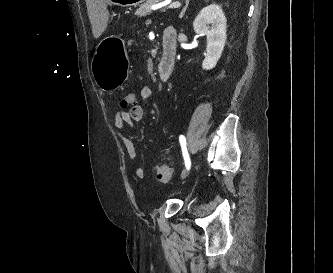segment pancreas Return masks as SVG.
I'll return each instance as SVG.
<instances>
[{"instance_id": "pancreas-1", "label": "pancreas", "mask_w": 333, "mask_h": 273, "mask_svg": "<svg viewBox=\"0 0 333 273\" xmlns=\"http://www.w3.org/2000/svg\"><path fill=\"white\" fill-rule=\"evenodd\" d=\"M161 2V0H147L135 12L138 17L149 15L151 13V6Z\"/></svg>"}]
</instances>
